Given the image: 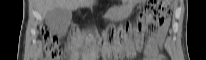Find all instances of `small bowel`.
I'll list each match as a JSON object with an SVG mask.
<instances>
[{
	"label": "small bowel",
	"mask_w": 206,
	"mask_h": 60,
	"mask_svg": "<svg viewBox=\"0 0 206 60\" xmlns=\"http://www.w3.org/2000/svg\"><path fill=\"white\" fill-rule=\"evenodd\" d=\"M166 32H167V24L160 26L156 35L155 43L152 46V50H151L152 56H156V57L158 56V48L162 43L166 35Z\"/></svg>",
	"instance_id": "1"
}]
</instances>
